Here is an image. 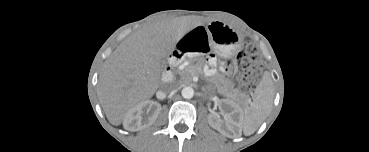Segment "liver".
<instances>
[{"mask_svg": "<svg viewBox=\"0 0 369 152\" xmlns=\"http://www.w3.org/2000/svg\"><path fill=\"white\" fill-rule=\"evenodd\" d=\"M191 29L184 20H162L127 37L105 61L97 94L108 121L120 125L127 112L150 99L160 85V61Z\"/></svg>", "mask_w": 369, "mask_h": 152, "instance_id": "6515ba94", "label": "liver"}]
</instances>
